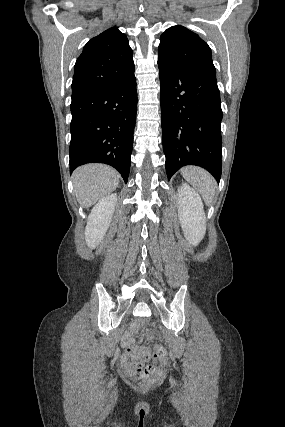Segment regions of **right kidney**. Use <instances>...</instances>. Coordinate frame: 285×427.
Listing matches in <instances>:
<instances>
[{
    "instance_id": "ca27d5eb",
    "label": "right kidney",
    "mask_w": 285,
    "mask_h": 427,
    "mask_svg": "<svg viewBox=\"0 0 285 427\" xmlns=\"http://www.w3.org/2000/svg\"><path fill=\"white\" fill-rule=\"evenodd\" d=\"M116 201V194L105 196L91 210L85 228V239L89 247L95 248L106 234Z\"/></svg>"
}]
</instances>
